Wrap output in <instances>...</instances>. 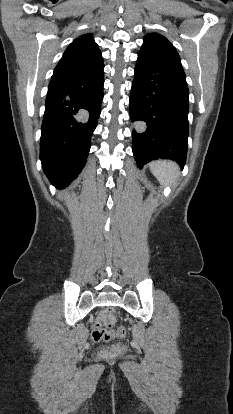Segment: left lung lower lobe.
Returning a JSON list of instances; mask_svg holds the SVG:
<instances>
[{
  "instance_id": "0a47b994",
  "label": "left lung lower lobe",
  "mask_w": 233,
  "mask_h": 414,
  "mask_svg": "<svg viewBox=\"0 0 233 414\" xmlns=\"http://www.w3.org/2000/svg\"><path fill=\"white\" fill-rule=\"evenodd\" d=\"M132 150L137 165L187 155L189 91L182 66L139 53L130 95Z\"/></svg>"
}]
</instances>
